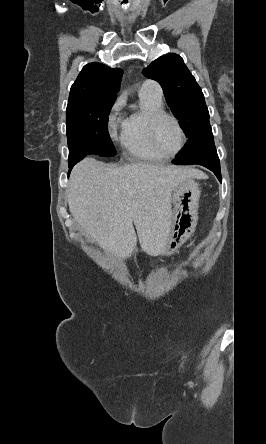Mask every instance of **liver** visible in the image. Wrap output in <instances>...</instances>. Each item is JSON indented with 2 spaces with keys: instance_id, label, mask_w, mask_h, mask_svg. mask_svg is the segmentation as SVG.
Wrapping results in <instances>:
<instances>
[{
  "instance_id": "obj_1",
  "label": "liver",
  "mask_w": 266,
  "mask_h": 444,
  "mask_svg": "<svg viewBox=\"0 0 266 444\" xmlns=\"http://www.w3.org/2000/svg\"><path fill=\"white\" fill-rule=\"evenodd\" d=\"M201 177L194 168L127 164L116 167L85 158L71 172L69 210L87 237L118 258H129L137 235L144 252L165 249L172 216L171 194L182 182Z\"/></svg>"
}]
</instances>
